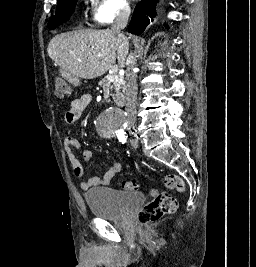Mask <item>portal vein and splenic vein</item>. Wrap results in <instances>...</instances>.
<instances>
[{
	"instance_id": "1",
	"label": "portal vein and splenic vein",
	"mask_w": 256,
	"mask_h": 267,
	"mask_svg": "<svg viewBox=\"0 0 256 267\" xmlns=\"http://www.w3.org/2000/svg\"><path fill=\"white\" fill-rule=\"evenodd\" d=\"M116 72H118V66H113V68H111L109 74H116Z\"/></svg>"
}]
</instances>
